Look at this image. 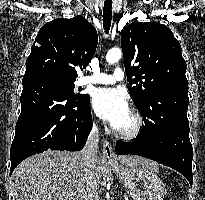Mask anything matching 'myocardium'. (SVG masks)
Returning a JSON list of instances; mask_svg holds the SVG:
<instances>
[{"label":"myocardium","mask_w":205,"mask_h":200,"mask_svg":"<svg viewBox=\"0 0 205 200\" xmlns=\"http://www.w3.org/2000/svg\"><path fill=\"white\" fill-rule=\"evenodd\" d=\"M130 114L133 118V122H134L133 126H132L131 129L125 130V131L115 129L114 134L118 138H121V139H124V140H133V139L138 138L141 135V133L144 129V119H143V117L135 109H131Z\"/></svg>","instance_id":"obj_1"}]
</instances>
